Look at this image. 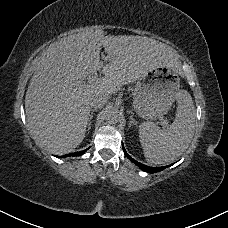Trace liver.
Returning <instances> with one entry per match:
<instances>
[{
	"instance_id": "liver-1",
	"label": "liver",
	"mask_w": 228,
	"mask_h": 228,
	"mask_svg": "<svg viewBox=\"0 0 228 228\" xmlns=\"http://www.w3.org/2000/svg\"><path fill=\"white\" fill-rule=\"evenodd\" d=\"M104 48L108 63L100 61ZM173 49L149 37L104 35L100 29L68 36L37 62L25 95L27 125L35 143L54 154L76 148L89 121V95H112L148 71H180ZM102 68L104 77L89 79Z\"/></svg>"
}]
</instances>
